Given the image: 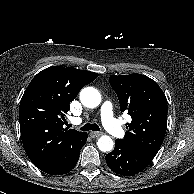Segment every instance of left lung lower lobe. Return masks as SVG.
Segmentation results:
<instances>
[{
	"mask_svg": "<svg viewBox=\"0 0 194 194\" xmlns=\"http://www.w3.org/2000/svg\"><path fill=\"white\" fill-rule=\"evenodd\" d=\"M154 157L155 155L117 139L114 150L108 153L105 159L113 172L124 176H133L144 170Z\"/></svg>",
	"mask_w": 194,
	"mask_h": 194,
	"instance_id": "0a47b994",
	"label": "left lung lower lobe"
}]
</instances>
